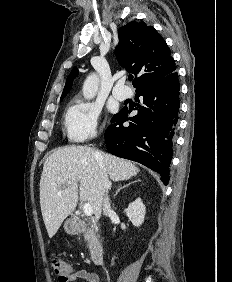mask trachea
Segmentation results:
<instances>
[{"label": "trachea", "instance_id": "3493384b", "mask_svg": "<svg viewBox=\"0 0 232 282\" xmlns=\"http://www.w3.org/2000/svg\"><path fill=\"white\" fill-rule=\"evenodd\" d=\"M128 80H129V81H132V80H133V76H132V75H129V76H128Z\"/></svg>", "mask_w": 232, "mask_h": 282}]
</instances>
